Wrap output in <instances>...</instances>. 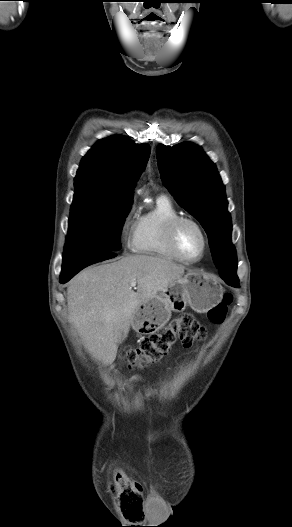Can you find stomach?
Wrapping results in <instances>:
<instances>
[{"instance_id":"1","label":"stomach","mask_w":292,"mask_h":527,"mask_svg":"<svg viewBox=\"0 0 292 527\" xmlns=\"http://www.w3.org/2000/svg\"><path fill=\"white\" fill-rule=\"evenodd\" d=\"M223 298L222 286L209 275L189 271L155 297L142 302L132 317L133 329L143 335L164 327L171 312H182L188 306L197 313H206Z\"/></svg>"}]
</instances>
